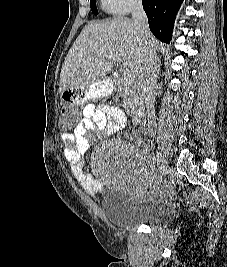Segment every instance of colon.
I'll return each instance as SVG.
<instances>
[{
  "label": "colon",
  "instance_id": "obj_1",
  "mask_svg": "<svg viewBox=\"0 0 227 267\" xmlns=\"http://www.w3.org/2000/svg\"><path fill=\"white\" fill-rule=\"evenodd\" d=\"M73 104H66L60 115V130H71L75 119H80L81 115L78 110H69V106Z\"/></svg>",
  "mask_w": 227,
  "mask_h": 267
}]
</instances>
